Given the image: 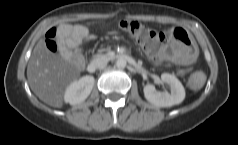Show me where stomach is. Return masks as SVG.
Here are the masks:
<instances>
[{
	"label": "stomach",
	"instance_id": "0dacf381",
	"mask_svg": "<svg viewBox=\"0 0 238 145\" xmlns=\"http://www.w3.org/2000/svg\"><path fill=\"white\" fill-rule=\"evenodd\" d=\"M171 35L176 43L182 46L183 50L187 52L194 50L196 43L192 35H190L183 26H174L171 30Z\"/></svg>",
	"mask_w": 238,
	"mask_h": 145
}]
</instances>
